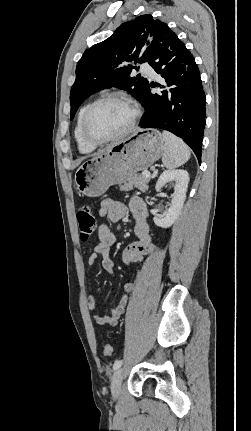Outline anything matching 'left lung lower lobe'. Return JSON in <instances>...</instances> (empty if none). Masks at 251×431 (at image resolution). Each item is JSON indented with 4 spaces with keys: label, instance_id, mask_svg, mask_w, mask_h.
<instances>
[{
    "label": "left lung lower lobe",
    "instance_id": "left-lung-lower-lobe-1",
    "mask_svg": "<svg viewBox=\"0 0 251 431\" xmlns=\"http://www.w3.org/2000/svg\"><path fill=\"white\" fill-rule=\"evenodd\" d=\"M149 64L164 78L160 94H152L149 84L141 104L145 108L141 128H160L182 138L201 162L206 123V97L200 72L189 50L171 33L154 51Z\"/></svg>",
    "mask_w": 251,
    "mask_h": 431
}]
</instances>
